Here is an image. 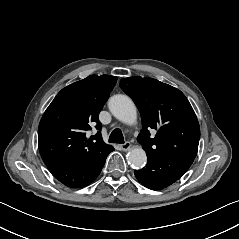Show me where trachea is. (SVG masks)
<instances>
[{
  "label": "trachea",
  "mask_w": 239,
  "mask_h": 239,
  "mask_svg": "<svg viewBox=\"0 0 239 239\" xmlns=\"http://www.w3.org/2000/svg\"><path fill=\"white\" fill-rule=\"evenodd\" d=\"M110 143H124L122 131L119 128L114 129L109 136Z\"/></svg>",
  "instance_id": "obj_1"
}]
</instances>
